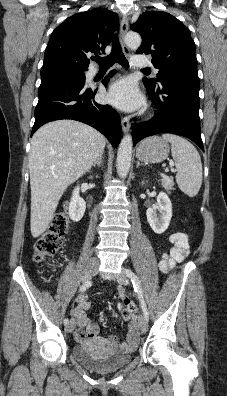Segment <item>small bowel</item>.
<instances>
[{
	"label": "small bowel",
	"instance_id": "1",
	"mask_svg": "<svg viewBox=\"0 0 227 396\" xmlns=\"http://www.w3.org/2000/svg\"><path fill=\"white\" fill-rule=\"evenodd\" d=\"M169 241L172 244L171 249L163 254L159 263L160 269L164 272L169 271L175 267L177 263L182 262L189 254V236L183 232H175L169 236ZM121 298L125 299L126 296L122 290H119ZM77 306L73 311L74 321L79 325V329L75 332V338L79 342H94L99 344H112L120 346L117 337H105L101 335L100 327L98 324L91 321L87 316V310L91 306L89 296L82 294L77 297ZM135 306L126 305L125 303L120 307L121 316L125 321L129 322V330L124 346L133 347L139 340L138 323L134 314Z\"/></svg>",
	"mask_w": 227,
	"mask_h": 396
}]
</instances>
